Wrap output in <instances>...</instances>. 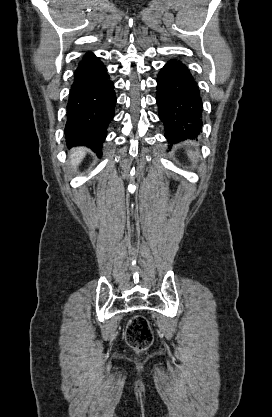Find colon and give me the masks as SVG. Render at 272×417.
Here are the masks:
<instances>
[{"label":"colon","mask_w":272,"mask_h":417,"mask_svg":"<svg viewBox=\"0 0 272 417\" xmlns=\"http://www.w3.org/2000/svg\"><path fill=\"white\" fill-rule=\"evenodd\" d=\"M127 343L136 350H145L153 342V331L148 320L141 315L134 316L127 324Z\"/></svg>","instance_id":"colon-1"}]
</instances>
